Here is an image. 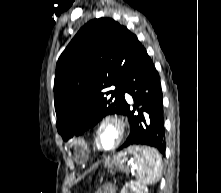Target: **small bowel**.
I'll list each match as a JSON object with an SVG mask.
<instances>
[{
    "label": "small bowel",
    "mask_w": 221,
    "mask_h": 193,
    "mask_svg": "<svg viewBox=\"0 0 221 193\" xmlns=\"http://www.w3.org/2000/svg\"><path fill=\"white\" fill-rule=\"evenodd\" d=\"M95 193H117V190L113 184H105Z\"/></svg>",
    "instance_id": "small-bowel-1"
}]
</instances>
